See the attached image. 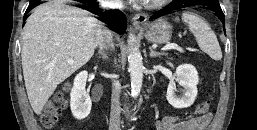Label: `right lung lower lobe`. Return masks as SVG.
<instances>
[{
    "mask_svg": "<svg viewBox=\"0 0 257 130\" xmlns=\"http://www.w3.org/2000/svg\"><path fill=\"white\" fill-rule=\"evenodd\" d=\"M39 4L40 3L38 1L32 0L29 4L28 9L26 10L24 18L27 17L26 14L30 10H32ZM86 10L96 15H99L100 17L98 19L106 23L111 30L116 31L119 34L123 33L126 30V17L122 12L118 10L107 11L104 13V15H102L97 3L89 5V9H86Z\"/></svg>",
    "mask_w": 257,
    "mask_h": 130,
    "instance_id": "right-lung-lower-lobe-1",
    "label": "right lung lower lobe"
}]
</instances>
